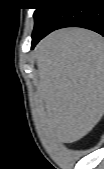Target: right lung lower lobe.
<instances>
[{
	"label": "right lung lower lobe",
	"mask_w": 104,
	"mask_h": 169,
	"mask_svg": "<svg viewBox=\"0 0 104 169\" xmlns=\"http://www.w3.org/2000/svg\"><path fill=\"white\" fill-rule=\"evenodd\" d=\"M83 27L104 36V0H60L57 10L32 34V48L50 32Z\"/></svg>",
	"instance_id": "1"
}]
</instances>
